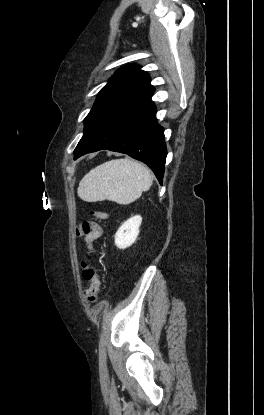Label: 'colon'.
Returning a JSON list of instances; mask_svg holds the SVG:
<instances>
[{"label":"colon","instance_id":"5ec220e1","mask_svg":"<svg viewBox=\"0 0 264 415\" xmlns=\"http://www.w3.org/2000/svg\"><path fill=\"white\" fill-rule=\"evenodd\" d=\"M107 213L102 210H93L90 213V218L86 219L83 223L84 234H87L91 230V221L93 219H104ZM85 279L90 283L85 289V297L89 303H95L98 298V294L101 287V275L99 271L90 264L84 265Z\"/></svg>","mask_w":264,"mask_h":415}]
</instances>
